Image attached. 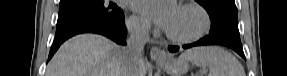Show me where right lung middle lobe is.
<instances>
[{"instance_id": "1", "label": "right lung middle lobe", "mask_w": 287, "mask_h": 76, "mask_svg": "<svg viewBox=\"0 0 287 76\" xmlns=\"http://www.w3.org/2000/svg\"><path fill=\"white\" fill-rule=\"evenodd\" d=\"M123 11L109 0H60L56 35L85 25L120 21Z\"/></svg>"}]
</instances>
